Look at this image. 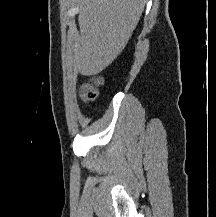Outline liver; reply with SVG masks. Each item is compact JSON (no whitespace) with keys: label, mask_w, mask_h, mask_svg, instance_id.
Instances as JSON below:
<instances>
[{"label":"liver","mask_w":216,"mask_h":217,"mask_svg":"<svg viewBox=\"0 0 216 217\" xmlns=\"http://www.w3.org/2000/svg\"><path fill=\"white\" fill-rule=\"evenodd\" d=\"M146 0H79L80 46L75 68L85 76L100 73L123 51L143 13Z\"/></svg>","instance_id":"liver-1"}]
</instances>
